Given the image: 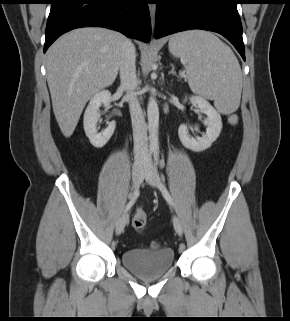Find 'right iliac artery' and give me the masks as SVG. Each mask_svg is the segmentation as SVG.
Listing matches in <instances>:
<instances>
[{
	"label": "right iliac artery",
	"instance_id": "1",
	"mask_svg": "<svg viewBox=\"0 0 290 321\" xmlns=\"http://www.w3.org/2000/svg\"><path fill=\"white\" fill-rule=\"evenodd\" d=\"M138 195H139V191L136 190V191L134 192V195H133V197L131 198L130 202H129V203L127 204V206H126V211H128V210L133 206V204L135 203Z\"/></svg>",
	"mask_w": 290,
	"mask_h": 321
}]
</instances>
